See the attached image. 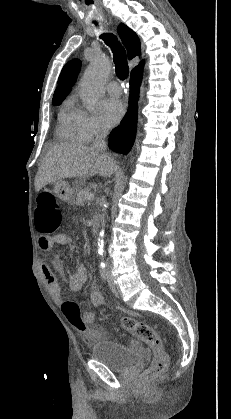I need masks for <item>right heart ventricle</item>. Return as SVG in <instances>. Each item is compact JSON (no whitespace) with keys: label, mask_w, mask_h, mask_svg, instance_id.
Returning <instances> with one entry per match:
<instances>
[{"label":"right heart ventricle","mask_w":231,"mask_h":419,"mask_svg":"<svg viewBox=\"0 0 231 419\" xmlns=\"http://www.w3.org/2000/svg\"><path fill=\"white\" fill-rule=\"evenodd\" d=\"M82 116L83 113L75 107L73 101L67 100L59 113L58 136L72 143L86 142L82 132Z\"/></svg>","instance_id":"right-heart-ventricle-1"}]
</instances>
